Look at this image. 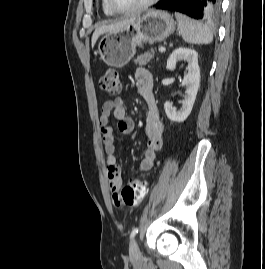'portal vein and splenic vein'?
Returning <instances> with one entry per match:
<instances>
[{
    "mask_svg": "<svg viewBox=\"0 0 265 269\" xmlns=\"http://www.w3.org/2000/svg\"><path fill=\"white\" fill-rule=\"evenodd\" d=\"M165 51H166V49L164 47H159V52L163 53Z\"/></svg>",
    "mask_w": 265,
    "mask_h": 269,
    "instance_id": "1",
    "label": "portal vein and splenic vein"
}]
</instances>
